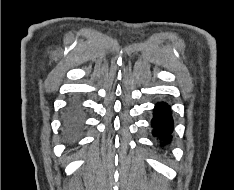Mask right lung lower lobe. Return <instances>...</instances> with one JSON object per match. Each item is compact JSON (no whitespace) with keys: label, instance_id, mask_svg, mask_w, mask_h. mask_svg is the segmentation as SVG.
Here are the masks:
<instances>
[{"label":"right lung lower lobe","instance_id":"obj_1","mask_svg":"<svg viewBox=\"0 0 234 190\" xmlns=\"http://www.w3.org/2000/svg\"><path fill=\"white\" fill-rule=\"evenodd\" d=\"M83 128V115L77 105H71L64 118L63 132L70 141L75 140Z\"/></svg>","mask_w":234,"mask_h":190}]
</instances>
